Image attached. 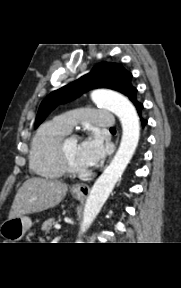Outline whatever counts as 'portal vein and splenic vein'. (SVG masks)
I'll return each mask as SVG.
<instances>
[{"mask_svg":"<svg viewBox=\"0 0 181 288\" xmlns=\"http://www.w3.org/2000/svg\"><path fill=\"white\" fill-rule=\"evenodd\" d=\"M61 228V226L59 224L55 225V229L59 230Z\"/></svg>","mask_w":181,"mask_h":288,"instance_id":"1","label":"portal vein and splenic vein"}]
</instances>
